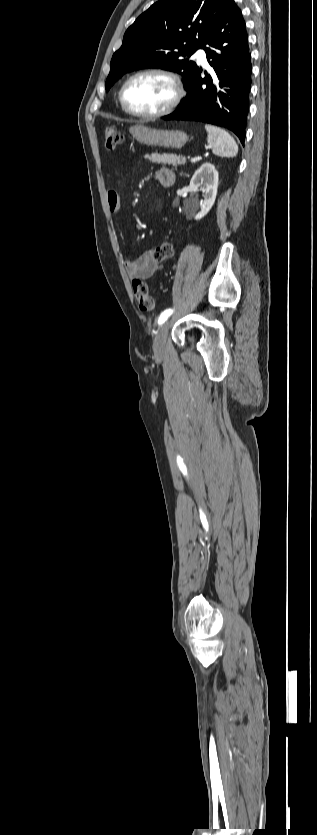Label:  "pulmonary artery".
<instances>
[{"label": "pulmonary artery", "instance_id": "pulmonary-artery-1", "mask_svg": "<svg viewBox=\"0 0 317 835\" xmlns=\"http://www.w3.org/2000/svg\"><path fill=\"white\" fill-rule=\"evenodd\" d=\"M194 57H195V58L197 59V61H198L199 63H201L202 65H207L206 53H205L204 49L199 48V49L195 52Z\"/></svg>", "mask_w": 317, "mask_h": 835}]
</instances>
